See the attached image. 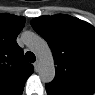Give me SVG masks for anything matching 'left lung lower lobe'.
<instances>
[{
  "instance_id": "0a47b994",
  "label": "left lung lower lobe",
  "mask_w": 95,
  "mask_h": 95,
  "mask_svg": "<svg viewBox=\"0 0 95 95\" xmlns=\"http://www.w3.org/2000/svg\"><path fill=\"white\" fill-rule=\"evenodd\" d=\"M45 87L48 95H91L93 93L91 90L70 85L52 86L46 84Z\"/></svg>"
}]
</instances>
